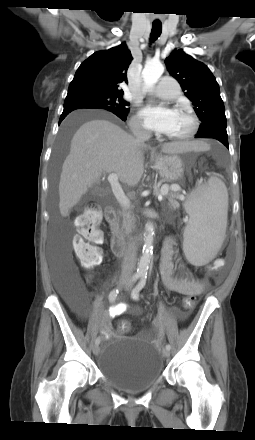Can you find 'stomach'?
Returning a JSON list of instances; mask_svg holds the SVG:
<instances>
[{"mask_svg": "<svg viewBox=\"0 0 255 440\" xmlns=\"http://www.w3.org/2000/svg\"><path fill=\"white\" fill-rule=\"evenodd\" d=\"M153 161L162 178L177 181L184 175V164L178 155H156Z\"/></svg>", "mask_w": 255, "mask_h": 440, "instance_id": "stomach-1", "label": "stomach"}]
</instances>
